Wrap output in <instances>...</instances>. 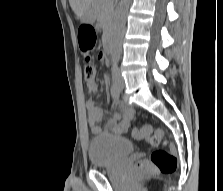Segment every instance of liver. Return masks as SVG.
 <instances>
[{
    "instance_id": "6515ba94",
    "label": "liver",
    "mask_w": 223,
    "mask_h": 191,
    "mask_svg": "<svg viewBox=\"0 0 223 191\" xmlns=\"http://www.w3.org/2000/svg\"><path fill=\"white\" fill-rule=\"evenodd\" d=\"M91 2L92 0H69L70 6L78 18H81L84 11L90 7Z\"/></svg>"
}]
</instances>
